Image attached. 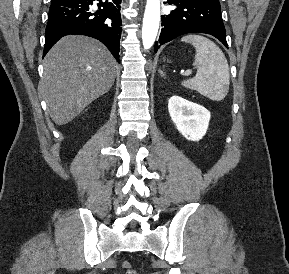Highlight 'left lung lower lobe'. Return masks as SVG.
<instances>
[{
	"label": "left lung lower lobe",
	"instance_id": "left-lung-lower-lobe-1",
	"mask_svg": "<svg viewBox=\"0 0 289 274\" xmlns=\"http://www.w3.org/2000/svg\"><path fill=\"white\" fill-rule=\"evenodd\" d=\"M176 9L161 16V34L154 51L161 45L187 33H206L216 37L227 48L226 32L219 0H168Z\"/></svg>",
	"mask_w": 289,
	"mask_h": 274
}]
</instances>
